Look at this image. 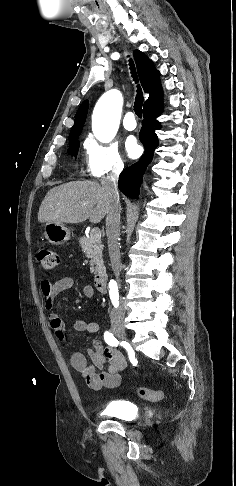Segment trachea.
<instances>
[{"label":"trachea","mask_w":236,"mask_h":486,"mask_svg":"<svg viewBox=\"0 0 236 486\" xmlns=\"http://www.w3.org/2000/svg\"><path fill=\"white\" fill-rule=\"evenodd\" d=\"M129 64H130L132 77H133L134 81L136 83H138V78H137V74H136V71H135L134 63L130 60ZM137 87H138V89H137V95H136L135 103H134V111H135V114L139 118H141L142 117V105H143V93H142L140 86L137 85Z\"/></svg>","instance_id":"obj_1"}]
</instances>
